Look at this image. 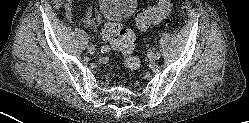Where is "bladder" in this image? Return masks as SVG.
Instances as JSON below:
<instances>
[{
    "mask_svg": "<svg viewBox=\"0 0 249 123\" xmlns=\"http://www.w3.org/2000/svg\"><path fill=\"white\" fill-rule=\"evenodd\" d=\"M137 0H100L99 11L108 22L117 23L133 14Z\"/></svg>",
    "mask_w": 249,
    "mask_h": 123,
    "instance_id": "1",
    "label": "bladder"
}]
</instances>
